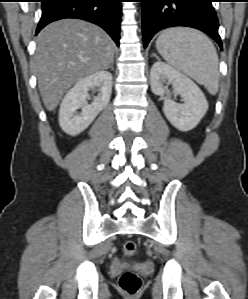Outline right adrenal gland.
<instances>
[{
    "label": "right adrenal gland",
    "mask_w": 248,
    "mask_h": 299,
    "mask_svg": "<svg viewBox=\"0 0 248 299\" xmlns=\"http://www.w3.org/2000/svg\"><path fill=\"white\" fill-rule=\"evenodd\" d=\"M113 64H114V60H112V63H111V65H110V66H108V67H107V69H109V68H110L111 70H113V69H114V68H113Z\"/></svg>",
    "instance_id": "right-adrenal-gland-1"
}]
</instances>
